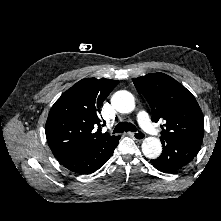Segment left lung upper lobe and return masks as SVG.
I'll return each instance as SVG.
<instances>
[{"label":"left lung upper lobe","mask_w":221,"mask_h":221,"mask_svg":"<svg viewBox=\"0 0 221 221\" xmlns=\"http://www.w3.org/2000/svg\"><path fill=\"white\" fill-rule=\"evenodd\" d=\"M134 84L152 109V120H165L161 141L203 138L202 111L190 91L164 73L147 74Z\"/></svg>","instance_id":"5c2ea615"}]
</instances>
